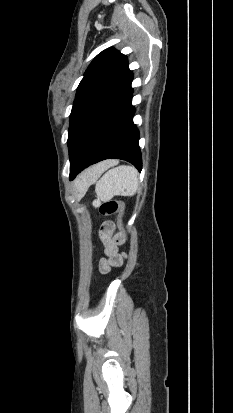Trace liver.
Masks as SVG:
<instances>
[{
    "label": "liver",
    "mask_w": 233,
    "mask_h": 413,
    "mask_svg": "<svg viewBox=\"0 0 233 413\" xmlns=\"http://www.w3.org/2000/svg\"><path fill=\"white\" fill-rule=\"evenodd\" d=\"M104 167H105V165H104L103 163H101V164H99V165L91 168V169L89 170L88 174H91V173L96 172V171L103 170Z\"/></svg>",
    "instance_id": "1"
}]
</instances>
